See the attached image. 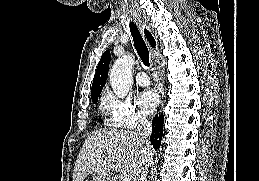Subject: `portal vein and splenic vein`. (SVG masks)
<instances>
[{"instance_id":"obj_1","label":"portal vein and splenic vein","mask_w":259,"mask_h":181,"mask_svg":"<svg viewBox=\"0 0 259 181\" xmlns=\"http://www.w3.org/2000/svg\"><path fill=\"white\" fill-rule=\"evenodd\" d=\"M119 181H130V177L128 174H121Z\"/></svg>"}]
</instances>
